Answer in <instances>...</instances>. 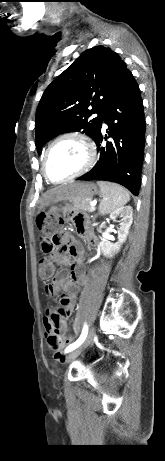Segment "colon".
<instances>
[{
  "instance_id": "colon-1",
  "label": "colon",
  "mask_w": 165,
  "mask_h": 461,
  "mask_svg": "<svg viewBox=\"0 0 165 461\" xmlns=\"http://www.w3.org/2000/svg\"><path fill=\"white\" fill-rule=\"evenodd\" d=\"M56 209H51L47 212L38 215L36 223L42 232L41 248L45 253L53 252L64 246L66 237L59 230L62 224V217L55 214ZM54 266L47 260L42 259L40 262V278L48 280L54 276ZM51 349L58 350L60 353L65 351V348L71 346L70 340H60L56 334H52L48 338Z\"/></svg>"
}]
</instances>
